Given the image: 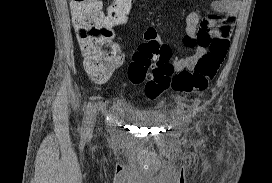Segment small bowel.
I'll return each mask as SVG.
<instances>
[{"instance_id":"c3829d8e","label":"small bowel","mask_w":272,"mask_h":183,"mask_svg":"<svg viewBox=\"0 0 272 183\" xmlns=\"http://www.w3.org/2000/svg\"><path fill=\"white\" fill-rule=\"evenodd\" d=\"M241 7L240 0H214L211 3L214 15L202 17L197 11L189 12L185 18V35L182 41L185 46L193 49V54L177 58L173 65L175 70L182 71L193 68L206 53L208 42L213 36H228L234 27L235 18ZM143 40L144 42H161L160 36L154 27H148L144 31ZM116 46L120 52L122 45L116 44ZM113 70L106 78L94 80L99 83L106 81Z\"/></svg>"}]
</instances>
